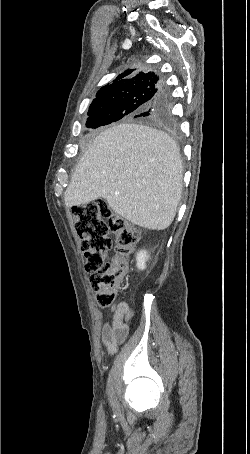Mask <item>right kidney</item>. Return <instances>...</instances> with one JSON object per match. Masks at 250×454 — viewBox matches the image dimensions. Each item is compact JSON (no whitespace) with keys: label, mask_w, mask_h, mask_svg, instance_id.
I'll return each mask as SVG.
<instances>
[{"label":"right kidney","mask_w":250,"mask_h":454,"mask_svg":"<svg viewBox=\"0 0 250 454\" xmlns=\"http://www.w3.org/2000/svg\"><path fill=\"white\" fill-rule=\"evenodd\" d=\"M148 259H149V255L146 250L139 251L136 256L137 268L139 270H144L146 268V261Z\"/></svg>","instance_id":"right-kidney-1"}]
</instances>
